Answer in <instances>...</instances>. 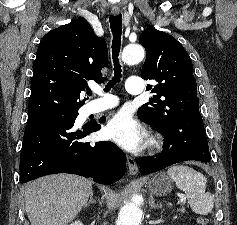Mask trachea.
I'll return each instance as SVG.
<instances>
[{
  "label": "trachea",
  "instance_id": "1",
  "mask_svg": "<svg viewBox=\"0 0 237 225\" xmlns=\"http://www.w3.org/2000/svg\"><path fill=\"white\" fill-rule=\"evenodd\" d=\"M110 28L113 34L112 40V59L114 63V77L106 85L105 92H108L111 87L120 81L121 78V65L119 63V52L121 46V34H122V15L118 14L116 16H110L109 18ZM91 94V92H89Z\"/></svg>",
  "mask_w": 237,
  "mask_h": 225
}]
</instances>
